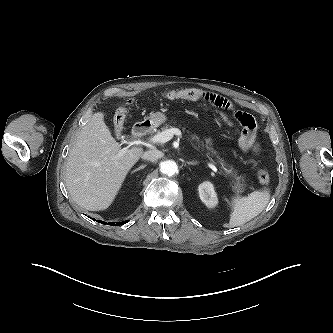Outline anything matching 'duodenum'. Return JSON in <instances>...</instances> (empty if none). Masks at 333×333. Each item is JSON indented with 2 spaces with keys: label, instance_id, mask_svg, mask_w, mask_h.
I'll use <instances>...</instances> for the list:
<instances>
[{
  "label": "duodenum",
  "instance_id": "duodenum-1",
  "mask_svg": "<svg viewBox=\"0 0 333 333\" xmlns=\"http://www.w3.org/2000/svg\"><path fill=\"white\" fill-rule=\"evenodd\" d=\"M149 130V125L145 122H141L138 123L134 126L133 130H132V134L135 137H141L143 135H145Z\"/></svg>",
  "mask_w": 333,
  "mask_h": 333
}]
</instances>
